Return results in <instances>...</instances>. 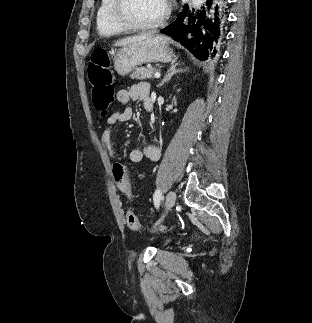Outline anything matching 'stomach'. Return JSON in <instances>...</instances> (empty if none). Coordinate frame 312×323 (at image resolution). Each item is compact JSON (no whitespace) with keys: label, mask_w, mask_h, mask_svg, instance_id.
<instances>
[{"label":"stomach","mask_w":312,"mask_h":323,"mask_svg":"<svg viewBox=\"0 0 312 323\" xmlns=\"http://www.w3.org/2000/svg\"><path fill=\"white\" fill-rule=\"evenodd\" d=\"M170 42L167 36H152L147 40H139V42L122 46L114 54V70L119 76H127L142 64H150V62L167 64L171 62L173 56Z\"/></svg>","instance_id":"0dacf381"}]
</instances>
